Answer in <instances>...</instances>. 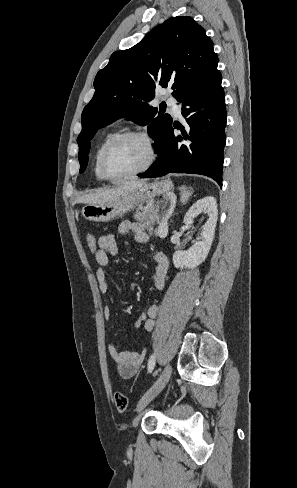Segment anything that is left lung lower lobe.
<instances>
[{"label": "left lung lower lobe", "instance_id": "0a47b994", "mask_svg": "<svg viewBox=\"0 0 297 488\" xmlns=\"http://www.w3.org/2000/svg\"><path fill=\"white\" fill-rule=\"evenodd\" d=\"M221 80L218 71L201 89L183 100L185 126L171 124L158 151V159L139 177L201 174L211 177L222 187L226 109ZM174 128L181 134L175 136Z\"/></svg>", "mask_w": 297, "mask_h": 488}]
</instances>
